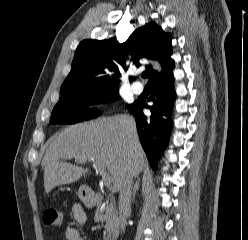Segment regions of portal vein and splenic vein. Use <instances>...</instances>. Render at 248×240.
<instances>
[{
	"instance_id": "1",
	"label": "portal vein and splenic vein",
	"mask_w": 248,
	"mask_h": 240,
	"mask_svg": "<svg viewBox=\"0 0 248 240\" xmlns=\"http://www.w3.org/2000/svg\"><path fill=\"white\" fill-rule=\"evenodd\" d=\"M95 167L98 169L100 175L102 176V180L106 186H110L113 178L110 173H107L106 167L100 163L95 162Z\"/></svg>"
}]
</instances>
